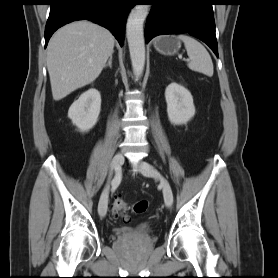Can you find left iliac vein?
Masks as SVG:
<instances>
[{"label":"left iliac vein","mask_w":278,"mask_h":278,"mask_svg":"<svg viewBox=\"0 0 278 278\" xmlns=\"http://www.w3.org/2000/svg\"><path fill=\"white\" fill-rule=\"evenodd\" d=\"M135 167L144 176L153 177L161 181L165 205L168 208H171L173 204V193L169 182L165 178H163L152 165L148 164L147 162H138Z\"/></svg>","instance_id":"obj_1"}]
</instances>
